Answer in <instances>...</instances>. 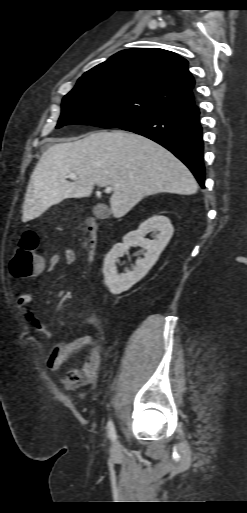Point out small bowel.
Returning a JSON list of instances; mask_svg holds the SVG:
<instances>
[{
  "mask_svg": "<svg viewBox=\"0 0 247 513\" xmlns=\"http://www.w3.org/2000/svg\"><path fill=\"white\" fill-rule=\"evenodd\" d=\"M62 256L64 264L72 266L77 262V254L72 249H63ZM60 263V254L54 253L50 256L48 263H42L40 273L47 269L48 272L54 271ZM31 293L23 291L17 301V307L22 317L31 325V327L45 340L53 337V331L47 324L39 318L30 308ZM91 317L86 318L87 322ZM86 350L85 359L70 368L64 375V385L70 388H76L78 385L85 386L95 378L101 363V346L91 337L84 336L73 340L60 341L55 343L45 358V365L52 371L60 370L67 360L77 356Z\"/></svg>",
  "mask_w": 247,
  "mask_h": 513,
  "instance_id": "obj_1",
  "label": "small bowel"
}]
</instances>
